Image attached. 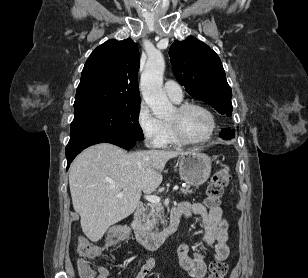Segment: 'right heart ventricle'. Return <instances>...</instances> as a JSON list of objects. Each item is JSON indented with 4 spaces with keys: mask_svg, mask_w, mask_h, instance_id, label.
Here are the masks:
<instances>
[{
    "mask_svg": "<svg viewBox=\"0 0 308 278\" xmlns=\"http://www.w3.org/2000/svg\"><path fill=\"white\" fill-rule=\"evenodd\" d=\"M167 128V139L165 145H180L181 142L174 136L169 124L165 122Z\"/></svg>",
    "mask_w": 308,
    "mask_h": 278,
    "instance_id": "obj_1",
    "label": "right heart ventricle"
}]
</instances>
